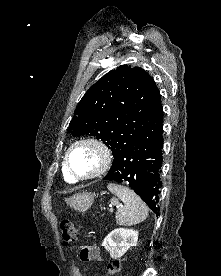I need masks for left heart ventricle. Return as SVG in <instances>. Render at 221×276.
I'll list each match as a JSON object with an SVG mask.
<instances>
[{
	"label": "left heart ventricle",
	"mask_w": 221,
	"mask_h": 276,
	"mask_svg": "<svg viewBox=\"0 0 221 276\" xmlns=\"http://www.w3.org/2000/svg\"><path fill=\"white\" fill-rule=\"evenodd\" d=\"M100 163V155L91 146H79L70 155V165L77 175H87L94 172Z\"/></svg>",
	"instance_id": "b2bd125f"
}]
</instances>
